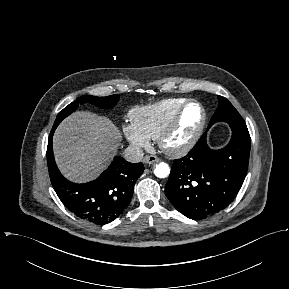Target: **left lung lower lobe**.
Returning <instances> with one entry per match:
<instances>
[{
    "label": "left lung lower lobe",
    "instance_id": "0a47b994",
    "mask_svg": "<svg viewBox=\"0 0 289 289\" xmlns=\"http://www.w3.org/2000/svg\"><path fill=\"white\" fill-rule=\"evenodd\" d=\"M230 127L232 137L226 147L210 149L204 133L187 156L172 164L165 193L173 206L190 219H204L221 211L233 201L243 184L250 135L247 126Z\"/></svg>",
    "mask_w": 289,
    "mask_h": 289
}]
</instances>
